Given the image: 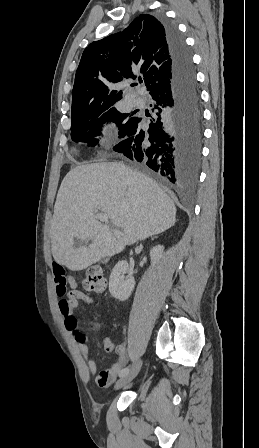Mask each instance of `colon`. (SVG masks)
<instances>
[{
  "label": "colon",
  "instance_id": "1",
  "mask_svg": "<svg viewBox=\"0 0 259 448\" xmlns=\"http://www.w3.org/2000/svg\"><path fill=\"white\" fill-rule=\"evenodd\" d=\"M82 286L85 290L94 293H103L106 290V280L100 269L89 268L83 277Z\"/></svg>",
  "mask_w": 259,
  "mask_h": 448
}]
</instances>
